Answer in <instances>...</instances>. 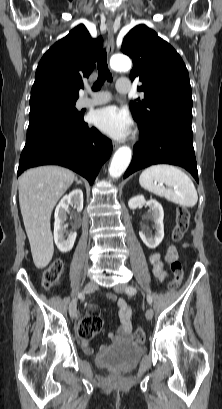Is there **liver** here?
<instances>
[{
	"mask_svg": "<svg viewBox=\"0 0 222 409\" xmlns=\"http://www.w3.org/2000/svg\"><path fill=\"white\" fill-rule=\"evenodd\" d=\"M75 179V174L58 166H40L19 178V204L29 239L33 262L45 268L54 253L51 213Z\"/></svg>",
	"mask_w": 222,
	"mask_h": 409,
	"instance_id": "6515ba94",
	"label": "liver"
}]
</instances>
